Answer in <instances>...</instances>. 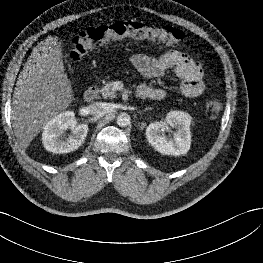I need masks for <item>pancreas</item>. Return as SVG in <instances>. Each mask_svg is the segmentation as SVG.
Returning a JSON list of instances; mask_svg holds the SVG:
<instances>
[{
	"label": "pancreas",
	"instance_id": "cf45deb5",
	"mask_svg": "<svg viewBox=\"0 0 263 263\" xmlns=\"http://www.w3.org/2000/svg\"><path fill=\"white\" fill-rule=\"evenodd\" d=\"M113 82H108L104 84V86L99 90L100 94L106 98H115L116 97V90L113 87Z\"/></svg>",
	"mask_w": 263,
	"mask_h": 263
}]
</instances>
